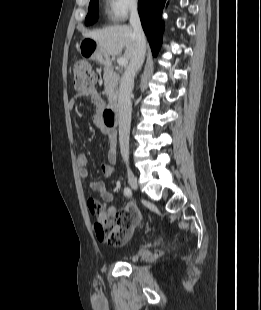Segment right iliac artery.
I'll list each match as a JSON object with an SVG mask.
<instances>
[{
  "mask_svg": "<svg viewBox=\"0 0 261 310\" xmlns=\"http://www.w3.org/2000/svg\"><path fill=\"white\" fill-rule=\"evenodd\" d=\"M124 194H125L127 197L132 196V191H131V189L128 188V187L124 188Z\"/></svg>",
  "mask_w": 261,
  "mask_h": 310,
  "instance_id": "82829eb1",
  "label": "right iliac artery"
}]
</instances>
